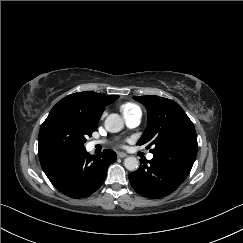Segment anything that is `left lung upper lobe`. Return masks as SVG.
Wrapping results in <instances>:
<instances>
[{"label":"left lung upper lobe","mask_w":243,"mask_h":243,"mask_svg":"<svg viewBox=\"0 0 243 243\" xmlns=\"http://www.w3.org/2000/svg\"><path fill=\"white\" fill-rule=\"evenodd\" d=\"M133 98L144 104L148 113L147 127L138 145L147 144L155 153L175 144L197 143L192 121L175 101L153 95Z\"/></svg>","instance_id":"1"}]
</instances>
